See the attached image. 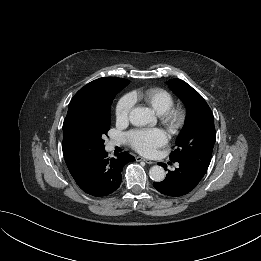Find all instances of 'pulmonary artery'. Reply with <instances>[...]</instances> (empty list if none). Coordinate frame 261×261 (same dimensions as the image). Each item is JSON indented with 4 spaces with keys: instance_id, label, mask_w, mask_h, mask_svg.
Wrapping results in <instances>:
<instances>
[{
    "instance_id": "obj_1",
    "label": "pulmonary artery",
    "mask_w": 261,
    "mask_h": 261,
    "mask_svg": "<svg viewBox=\"0 0 261 261\" xmlns=\"http://www.w3.org/2000/svg\"><path fill=\"white\" fill-rule=\"evenodd\" d=\"M118 144H119L118 142H112L111 146H115V145H118Z\"/></svg>"
}]
</instances>
